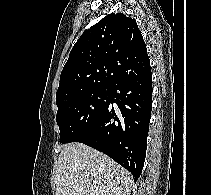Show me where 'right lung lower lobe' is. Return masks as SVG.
Listing matches in <instances>:
<instances>
[{
    "instance_id": "98d812e1",
    "label": "right lung lower lobe",
    "mask_w": 211,
    "mask_h": 195,
    "mask_svg": "<svg viewBox=\"0 0 211 195\" xmlns=\"http://www.w3.org/2000/svg\"><path fill=\"white\" fill-rule=\"evenodd\" d=\"M151 108L152 75L148 68L115 83L103 113L75 141L108 155L136 181L145 161Z\"/></svg>"
}]
</instances>
